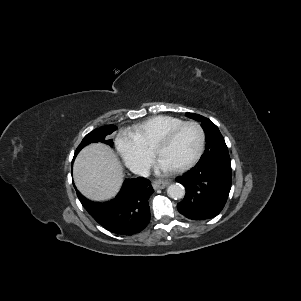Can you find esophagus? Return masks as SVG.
Returning a JSON list of instances; mask_svg holds the SVG:
<instances>
[{
  "mask_svg": "<svg viewBox=\"0 0 301 301\" xmlns=\"http://www.w3.org/2000/svg\"><path fill=\"white\" fill-rule=\"evenodd\" d=\"M171 183V180L156 181L153 183L154 189H163Z\"/></svg>",
  "mask_w": 301,
  "mask_h": 301,
  "instance_id": "1",
  "label": "esophagus"
}]
</instances>
